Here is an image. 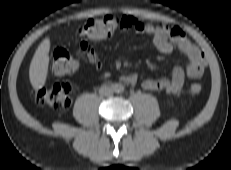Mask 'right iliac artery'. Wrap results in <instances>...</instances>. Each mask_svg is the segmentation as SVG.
Returning a JSON list of instances; mask_svg holds the SVG:
<instances>
[{
  "label": "right iliac artery",
  "instance_id": "obj_1",
  "mask_svg": "<svg viewBox=\"0 0 231 170\" xmlns=\"http://www.w3.org/2000/svg\"><path fill=\"white\" fill-rule=\"evenodd\" d=\"M111 87H112V89H113V90H115V89H116V87H117V85H116V84H112V86H111Z\"/></svg>",
  "mask_w": 231,
  "mask_h": 170
}]
</instances>
